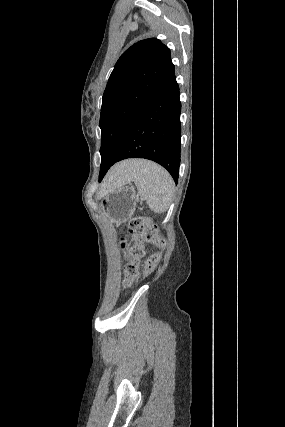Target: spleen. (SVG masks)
I'll return each mask as SVG.
<instances>
[{
	"label": "spleen",
	"instance_id": "spleen-1",
	"mask_svg": "<svg viewBox=\"0 0 285 427\" xmlns=\"http://www.w3.org/2000/svg\"><path fill=\"white\" fill-rule=\"evenodd\" d=\"M133 181L141 198L155 213L166 211L172 201L174 181L170 174L158 164L141 160L137 165L129 182Z\"/></svg>",
	"mask_w": 285,
	"mask_h": 427
}]
</instances>
